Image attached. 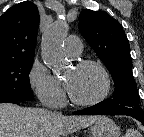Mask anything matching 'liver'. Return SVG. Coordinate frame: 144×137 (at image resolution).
<instances>
[{"mask_svg":"<svg viewBox=\"0 0 144 137\" xmlns=\"http://www.w3.org/2000/svg\"><path fill=\"white\" fill-rule=\"evenodd\" d=\"M101 116H66L46 109L0 104V137H67Z\"/></svg>","mask_w":144,"mask_h":137,"instance_id":"obj_1","label":"liver"}]
</instances>
